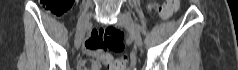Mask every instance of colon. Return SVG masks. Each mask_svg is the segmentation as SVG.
<instances>
[{
	"mask_svg": "<svg viewBox=\"0 0 238 70\" xmlns=\"http://www.w3.org/2000/svg\"><path fill=\"white\" fill-rule=\"evenodd\" d=\"M179 3V0H167L162 7H159L155 2H152L148 9L153 16L158 13L162 16H168L178 9ZM44 6L51 14L62 16L70 8L71 0H45ZM94 36L101 50L121 51L124 48L122 42L124 33L115 27L100 29L94 33ZM106 64L109 70H124L126 60L124 58L110 59Z\"/></svg>",
	"mask_w": 238,
	"mask_h": 70,
	"instance_id": "obj_1",
	"label": "colon"
}]
</instances>
